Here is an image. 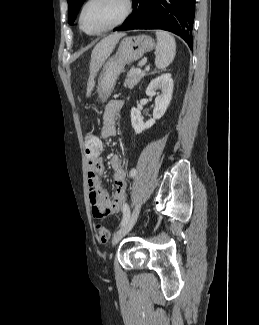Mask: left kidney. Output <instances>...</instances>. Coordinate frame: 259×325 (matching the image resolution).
I'll list each match as a JSON object with an SVG mask.
<instances>
[{
    "label": "left kidney",
    "mask_w": 259,
    "mask_h": 325,
    "mask_svg": "<svg viewBox=\"0 0 259 325\" xmlns=\"http://www.w3.org/2000/svg\"><path fill=\"white\" fill-rule=\"evenodd\" d=\"M173 86V80L169 73L162 74L150 82L146 89V95L153 97L156 95V90L158 89L161 90V94L155 99L153 118L149 119L147 122L143 121L139 109H131V124L136 134H140L145 129L151 128L155 124V121L165 114L172 99Z\"/></svg>",
    "instance_id": "obj_1"
}]
</instances>
